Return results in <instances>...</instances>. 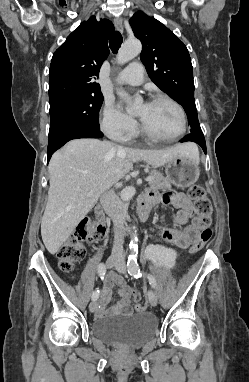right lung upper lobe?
Returning <instances> with one entry per match:
<instances>
[{
    "label": "right lung upper lobe",
    "instance_id": "right-lung-upper-lobe-1",
    "mask_svg": "<svg viewBox=\"0 0 249 382\" xmlns=\"http://www.w3.org/2000/svg\"><path fill=\"white\" fill-rule=\"evenodd\" d=\"M113 30L111 21L98 22L92 16L55 51L49 70L50 104L65 98L102 94L94 79L109 54L108 38Z\"/></svg>",
    "mask_w": 249,
    "mask_h": 382
}]
</instances>
